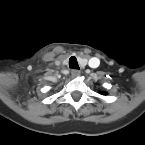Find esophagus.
Instances as JSON below:
<instances>
[{"mask_svg":"<svg viewBox=\"0 0 145 145\" xmlns=\"http://www.w3.org/2000/svg\"><path fill=\"white\" fill-rule=\"evenodd\" d=\"M80 71L79 70H77V69H73L72 71H71V75H72V77H78L79 75H80Z\"/></svg>","mask_w":145,"mask_h":145,"instance_id":"34e87169","label":"esophagus"}]
</instances>
